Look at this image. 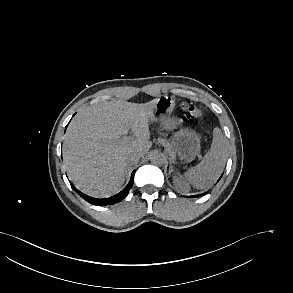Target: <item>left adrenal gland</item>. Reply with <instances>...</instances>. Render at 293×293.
<instances>
[{"mask_svg": "<svg viewBox=\"0 0 293 293\" xmlns=\"http://www.w3.org/2000/svg\"><path fill=\"white\" fill-rule=\"evenodd\" d=\"M172 171H173L172 160H170L169 174H171Z\"/></svg>", "mask_w": 293, "mask_h": 293, "instance_id": "left-adrenal-gland-1", "label": "left adrenal gland"}]
</instances>
